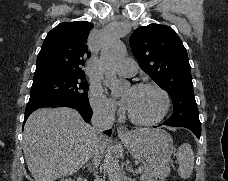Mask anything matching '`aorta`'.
Instances as JSON below:
<instances>
[{
  "instance_id": "aorta-1",
  "label": "aorta",
  "mask_w": 228,
  "mask_h": 181,
  "mask_svg": "<svg viewBox=\"0 0 228 181\" xmlns=\"http://www.w3.org/2000/svg\"><path fill=\"white\" fill-rule=\"evenodd\" d=\"M125 54L126 47L116 36H110L101 51L100 62L105 73V82L113 95H119L128 86L126 81L117 78L114 71ZM108 176L109 181H122V171L114 159L109 163Z\"/></svg>"
}]
</instances>
